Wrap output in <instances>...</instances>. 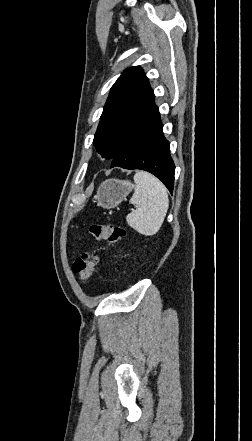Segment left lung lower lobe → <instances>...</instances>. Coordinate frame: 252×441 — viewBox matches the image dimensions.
I'll use <instances>...</instances> for the list:
<instances>
[{
  "label": "left lung lower lobe",
  "mask_w": 252,
  "mask_h": 441,
  "mask_svg": "<svg viewBox=\"0 0 252 441\" xmlns=\"http://www.w3.org/2000/svg\"><path fill=\"white\" fill-rule=\"evenodd\" d=\"M154 98L152 91L146 106L127 131L111 166L148 171L172 193L175 165L170 156L169 142L163 135V124Z\"/></svg>",
  "instance_id": "1"
}]
</instances>
